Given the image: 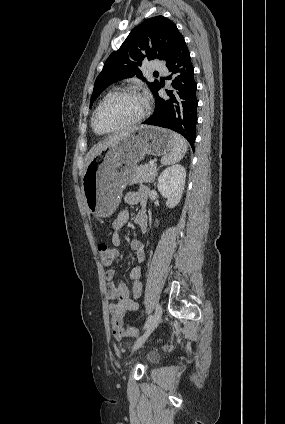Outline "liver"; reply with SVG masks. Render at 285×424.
<instances>
[{
    "instance_id": "liver-1",
    "label": "liver",
    "mask_w": 285,
    "mask_h": 424,
    "mask_svg": "<svg viewBox=\"0 0 285 424\" xmlns=\"http://www.w3.org/2000/svg\"><path fill=\"white\" fill-rule=\"evenodd\" d=\"M133 131H134V129L132 128V129H129V130L125 131V132L111 135V136L107 137L104 141H102L99 144H97L96 146H94L89 151V153L87 155V162H86V164L88 165L93 160V158L96 155H98L99 153H101L107 147H109L111 145L117 144L121 139L129 136L130 133H132Z\"/></svg>"
}]
</instances>
